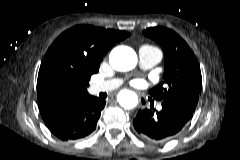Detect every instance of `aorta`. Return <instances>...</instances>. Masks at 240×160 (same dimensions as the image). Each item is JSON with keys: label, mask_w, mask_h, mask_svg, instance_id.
Returning <instances> with one entry per match:
<instances>
[{"label": "aorta", "mask_w": 240, "mask_h": 160, "mask_svg": "<svg viewBox=\"0 0 240 160\" xmlns=\"http://www.w3.org/2000/svg\"><path fill=\"white\" fill-rule=\"evenodd\" d=\"M109 62L113 69L117 71H129L137 64V55L133 49L127 46L115 47L110 55ZM118 102L124 109H133L138 104L136 93L123 90L118 95Z\"/></svg>", "instance_id": "1"}]
</instances>
